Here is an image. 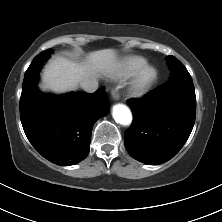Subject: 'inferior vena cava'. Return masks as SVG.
<instances>
[{"mask_svg":"<svg viewBox=\"0 0 222 222\" xmlns=\"http://www.w3.org/2000/svg\"><path fill=\"white\" fill-rule=\"evenodd\" d=\"M80 86L85 92L93 93L98 89V82L95 79H89L82 81Z\"/></svg>","mask_w":222,"mask_h":222,"instance_id":"inferior-vena-cava-1","label":"inferior vena cava"}]
</instances>
